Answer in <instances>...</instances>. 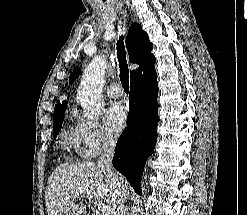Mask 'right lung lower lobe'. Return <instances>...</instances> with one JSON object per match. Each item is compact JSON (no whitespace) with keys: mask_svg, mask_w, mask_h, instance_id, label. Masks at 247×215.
I'll return each mask as SVG.
<instances>
[{"mask_svg":"<svg viewBox=\"0 0 247 215\" xmlns=\"http://www.w3.org/2000/svg\"><path fill=\"white\" fill-rule=\"evenodd\" d=\"M155 62L156 59L131 76L127 127L117 141L113 158V166L140 195L145 162L157 140L159 88Z\"/></svg>","mask_w":247,"mask_h":215,"instance_id":"obj_1","label":"right lung lower lobe"}]
</instances>
